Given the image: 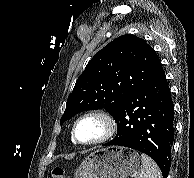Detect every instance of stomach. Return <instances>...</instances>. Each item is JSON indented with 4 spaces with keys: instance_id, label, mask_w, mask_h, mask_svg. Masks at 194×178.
I'll return each mask as SVG.
<instances>
[{
    "instance_id": "stomach-1",
    "label": "stomach",
    "mask_w": 194,
    "mask_h": 178,
    "mask_svg": "<svg viewBox=\"0 0 194 178\" xmlns=\"http://www.w3.org/2000/svg\"><path fill=\"white\" fill-rule=\"evenodd\" d=\"M140 165L139 154L115 146L92 152L78 167L74 178H128Z\"/></svg>"
}]
</instances>
